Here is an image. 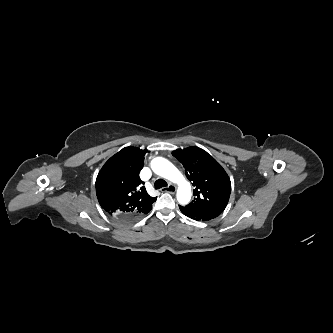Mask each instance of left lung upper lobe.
Masks as SVG:
<instances>
[{"label": "left lung upper lobe", "mask_w": 333, "mask_h": 333, "mask_svg": "<svg viewBox=\"0 0 333 333\" xmlns=\"http://www.w3.org/2000/svg\"><path fill=\"white\" fill-rule=\"evenodd\" d=\"M186 170L187 178L196 187L194 200L186 205L198 211L223 212L231 192L230 179L222 166L198 147L172 152Z\"/></svg>", "instance_id": "left-lung-upper-lobe-1"}]
</instances>
